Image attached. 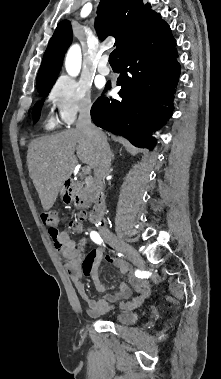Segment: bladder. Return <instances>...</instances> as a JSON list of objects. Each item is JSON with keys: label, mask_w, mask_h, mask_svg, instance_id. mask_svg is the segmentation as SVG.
Wrapping results in <instances>:
<instances>
[{"label": "bladder", "mask_w": 221, "mask_h": 379, "mask_svg": "<svg viewBox=\"0 0 221 379\" xmlns=\"http://www.w3.org/2000/svg\"><path fill=\"white\" fill-rule=\"evenodd\" d=\"M108 319L118 324L131 325L136 322L137 314L134 312H120L109 316Z\"/></svg>", "instance_id": "bladder-1"}]
</instances>
